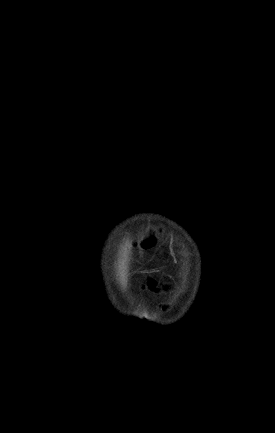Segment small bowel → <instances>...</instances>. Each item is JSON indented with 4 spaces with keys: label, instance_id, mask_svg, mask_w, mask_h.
<instances>
[{
    "label": "small bowel",
    "instance_id": "1",
    "mask_svg": "<svg viewBox=\"0 0 275 433\" xmlns=\"http://www.w3.org/2000/svg\"><path fill=\"white\" fill-rule=\"evenodd\" d=\"M148 287H149V289H151L153 291H158L159 290L158 284L154 280H150L148 282Z\"/></svg>",
    "mask_w": 275,
    "mask_h": 433
}]
</instances>
